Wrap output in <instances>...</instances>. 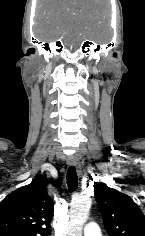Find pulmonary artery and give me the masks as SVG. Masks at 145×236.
<instances>
[{"label":"pulmonary artery","instance_id":"1","mask_svg":"<svg viewBox=\"0 0 145 236\" xmlns=\"http://www.w3.org/2000/svg\"><path fill=\"white\" fill-rule=\"evenodd\" d=\"M84 236H101L99 226L95 222L88 223L83 229Z\"/></svg>","mask_w":145,"mask_h":236}]
</instances>
